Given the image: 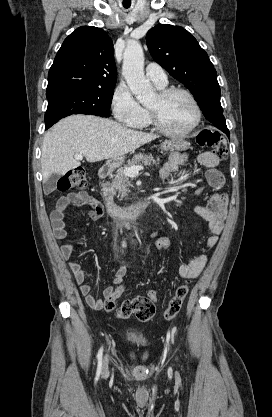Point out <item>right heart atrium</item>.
Segmentation results:
<instances>
[{"label":"right heart atrium","mask_w":272,"mask_h":417,"mask_svg":"<svg viewBox=\"0 0 272 417\" xmlns=\"http://www.w3.org/2000/svg\"><path fill=\"white\" fill-rule=\"evenodd\" d=\"M111 108L114 117L127 126L133 127L144 116V109L124 83L115 87L111 98Z\"/></svg>","instance_id":"d8ad5b80"}]
</instances>
